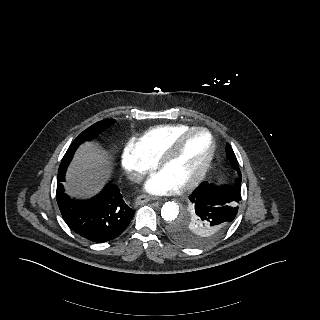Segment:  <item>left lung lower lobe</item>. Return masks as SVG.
Segmentation results:
<instances>
[{
  "mask_svg": "<svg viewBox=\"0 0 320 320\" xmlns=\"http://www.w3.org/2000/svg\"><path fill=\"white\" fill-rule=\"evenodd\" d=\"M241 186H216L202 182L190 196L193 210L206 222L210 229L208 238L223 233L234 220L241 201Z\"/></svg>",
  "mask_w": 320,
  "mask_h": 320,
  "instance_id": "0a47b994",
  "label": "left lung lower lobe"
}]
</instances>
